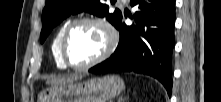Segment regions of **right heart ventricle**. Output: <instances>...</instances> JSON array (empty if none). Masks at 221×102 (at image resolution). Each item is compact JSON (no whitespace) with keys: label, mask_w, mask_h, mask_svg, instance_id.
Segmentation results:
<instances>
[{"label":"right heart ventricle","mask_w":221,"mask_h":102,"mask_svg":"<svg viewBox=\"0 0 221 102\" xmlns=\"http://www.w3.org/2000/svg\"><path fill=\"white\" fill-rule=\"evenodd\" d=\"M67 24H63L61 25L58 30L56 31L52 42H51V53H52V57L54 60L55 65L57 66V68L59 69H65L66 66L64 65V63L61 60V56H60V41L64 32V29L66 27Z\"/></svg>","instance_id":"right-heart-ventricle-1"}]
</instances>
